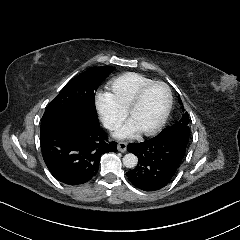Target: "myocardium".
<instances>
[{"label":"myocardium","mask_w":240,"mask_h":240,"mask_svg":"<svg viewBox=\"0 0 240 240\" xmlns=\"http://www.w3.org/2000/svg\"><path fill=\"white\" fill-rule=\"evenodd\" d=\"M153 86H161L166 91V102L163 109V113L159 119V121L150 129L140 131V133L144 136H152L155 135L159 130L164 126V124L167 121V118L170 113V109L172 106V93L169 88V86L161 81H152L150 83H147L143 85L136 93L135 97L133 98L132 102L129 104L127 109L124 111L125 119L130 120L131 115L133 112L140 106L142 99L145 95V93Z\"/></svg>","instance_id":"obj_1"}]
</instances>
